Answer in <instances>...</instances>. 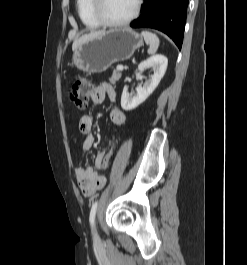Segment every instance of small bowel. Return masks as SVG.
<instances>
[{"instance_id": "small-bowel-1", "label": "small bowel", "mask_w": 247, "mask_h": 265, "mask_svg": "<svg viewBox=\"0 0 247 265\" xmlns=\"http://www.w3.org/2000/svg\"><path fill=\"white\" fill-rule=\"evenodd\" d=\"M108 97L111 101L115 100V92L107 83H99L91 93L92 102L95 105L101 104ZM110 119L115 125H123L126 122V114L119 108H113L110 111ZM93 118L90 115H84L79 121V130L85 135L82 150H90L95 143V136L92 134ZM104 152L96 155L94 166L100 170ZM93 167L78 166L75 170L78 186L84 196H91L102 189L106 183V178L98 174Z\"/></svg>"}]
</instances>
